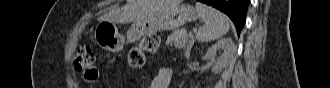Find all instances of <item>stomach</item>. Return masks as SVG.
<instances>
[{"instance_id": "stomach-1", "label": "stomach", "mask_w": 330, "mask_h": 88, "mask_svg": "<svg viewBox=\"0 0 330 88\" xmlns=\"http://www.w3.org/2000/svg\"><path fill=\"white\" fill-rule=\"evenodd\" d=\"M198 17L196 9L177 0H165L146 19L134 22L127 31L126 37L118 32L115 23L100 21L94 31L96 43L105 50L119 52L125 42L134 43L142 37L166 30H175L194 21Z\"/></svg>"}]
</instances>
